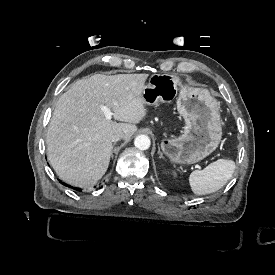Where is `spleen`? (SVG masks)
Instances as JSON below:
<instances>
[{
  "label": "spleen",
  "instance_id": "spleen-1",
  "mask_svg": "<svg viewBox=\"0 0 275 275\" xmlns=\"http://www.w3.org/2000/svg\"><path fill=\"white\" fill-rule=\"evenodd\" d=\"M235 163L230 159H218L201 171H193L188 177L191 191L196 195L211 194L222 188L232 177Z\"/></svg>",
  "mask_w": 275,
  "mask_h": 275
}]
</instances>
